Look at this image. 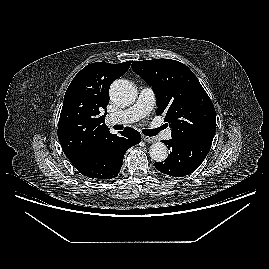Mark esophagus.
Returning a JSON list of instances; mask_svg holds the SVG:
<instances>
[{
	"instance_id": "obj_1",
	"label": "esophagus",
	"mask_w": 269,
	"mask_h": 269,
	"mask_svg": "<svg viewBox=\"0 0 269 269\" xmlns=\"http://www.w3.org/2000/svg\"><path fill=\"white\" fill-rule=\"evenodd\" d=\"M142 139L145 141V142H154L155 139L153 137H149V136H146V135H142Z\"/></svg>"
}]
</instances>
